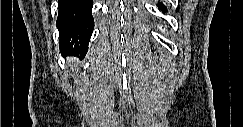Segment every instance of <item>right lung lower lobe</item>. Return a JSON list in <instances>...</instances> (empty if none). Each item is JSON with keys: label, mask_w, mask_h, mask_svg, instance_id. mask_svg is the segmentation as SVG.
Wrapping results in <instances>:
<instances>
[{"label": "right lung lower lobe", "mask_w": 243, "mask_h": 127, "mask_svg": "<svg viewBox=\"0 0 243 127\" xmlns=\"http://www.w3.org/2000/svg\"><path fill=\"white\" fill-rule=\"evenodd\" d=\"M92 6L93 0H59L56 26L62 54L86 55L94 27Z\"/></svg>", "instance_id": "1"}]
</instances>
